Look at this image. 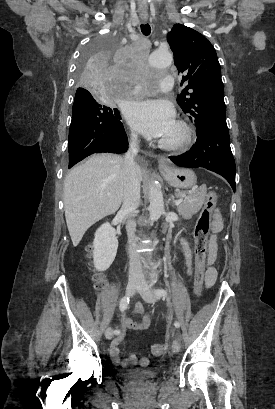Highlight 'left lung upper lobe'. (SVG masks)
<instances>
[{
	"label": "left lung upper lobe",
	"mask_w": 275,
	"mask_h": 409,
	"mask_svg": "<svg viewBox=\"0 0 275 409\" xmlns=\"http://www.w3.org/2000/svg\"><path fill=\"white\" fill-rule=\"evenodd\" d=\"M178 73L183 74L177 96L183 112L194 120L197 134L213 125L226 124L221 68L212 44L197 31L175 24L167 35Z\"/></svg>",
	"instance_id": "5c2ea615"
}]
</instances>
